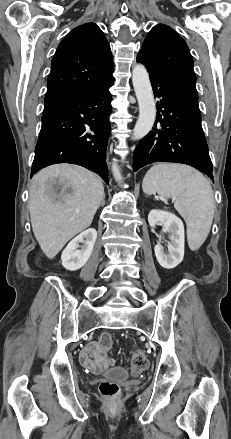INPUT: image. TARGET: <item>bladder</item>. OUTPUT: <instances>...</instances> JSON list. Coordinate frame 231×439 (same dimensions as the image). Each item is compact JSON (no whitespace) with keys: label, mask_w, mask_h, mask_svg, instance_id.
Returning <instances> with one entry per match:
<instances>
[{"label":"bladder","mask_w":231,"mask_h":439,"mask_svg":"<svg viewBox=\"0 0 231 439\" xmlns=\"http://www.w3.org/2000/svg\"><path fill=\"white\" fill-rule=\"evenodd\" d=\"M105 375L108 378L120 380L126 378L128 376V373L124 368L117 367L107 371Z\"/></svg>","instance_id":"bladder-1"}]
</instances>
